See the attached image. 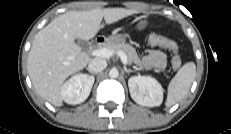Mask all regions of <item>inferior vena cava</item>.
I'll use <instances>...</instances> for the list:
<instances>
[{
  "label": "inferior vena cava",
  "instance_id": "602c4592",
  "mask_svg": "<svg viewBox=\"0 0 231 134\" xmlns=\"http://www.w3.org/2000/svg\"><path fill=\"white\" fill-rule=\"evenodd\" d=\"M107 67V62L101 58H94L89 62L88 70L91 73L97 74Z\"/></svg>",
  "mask_w": 231,
  "mask_h": 134
}]
</instances>
